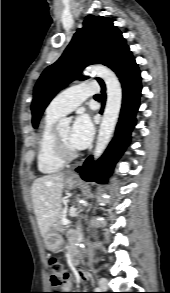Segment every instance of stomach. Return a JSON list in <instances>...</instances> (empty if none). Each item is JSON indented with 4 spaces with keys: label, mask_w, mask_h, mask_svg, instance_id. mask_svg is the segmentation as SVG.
Here are the masks:
<instances>
[{
    "label": "stomach",
    "mask_w": 170,
    "mask_h": 293,
    "mask_svg": "<svg viewBox=\"0 0 170 293\" xmlns=\"http://www.w3.org/2000/svg\"><path fill=\"white\" fill-rule=\"evenodd\" d=\"M79 183V179L76 176H67L64 179V185L67 189H73ZM62 236L54 230H50L44 236L45 247L50 251H58L62 247Z\"/></svg>",
    "instance_id": "stomach-1"
}]
</instances>
